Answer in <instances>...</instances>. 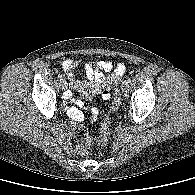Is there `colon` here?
Instances as JSON below:
<instances>
[{
    "label": "colon",
    "instance_id": "1",
    "mask_svg": "<svg viewBox=\"0 0 195 195\" xmlns=\"http://www.w3.org/2000/svg\"><path fill=\"white\" fill-rule=\"evenodd\" d=\"M121 96L118 89H115L113 95V103L111 107V111H115L118 109L120 105ZM111 129V119L110 117H106L101 128L99 141L101 143H106L110 136ZM73 136L76 141L80 142V145L77 147V151L81 155H88L91 149V141L88 136L87 130L80 125H73Z\"/></svg>",
    "mask_w": 195,
    "mask_h": 195
}]
</instances>
